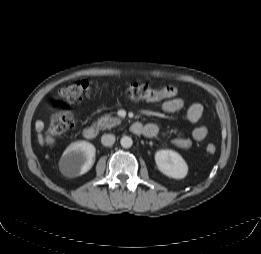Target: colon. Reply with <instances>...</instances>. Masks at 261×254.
<instances>
[{
	"instance_id": "colon-1",
	"label": "colon",
	"mask_w": 261,
	"mask_h": 254,
	"mask_svg": "<svg viewBox=\"0 0 261 254\" xmlns=\"http://www.w3.org/2000/svg\"><path fill=\"white\" fill-rule=\"evenodd\" d=\"M92 90L89 81L85 79L75 80L68 86L63 88L60 95L64 101L69 104L78 103L83 100ZM126 95L131 99H143L148 101H161L173 98L177 94V89L172 85H164L160 88L132 82L126 87ZM75 125L74 117L71 113H60L55 115L46 129V136L52 139L60 136L71 129ZM205 151L209 155L216 153L217 148L214 144L209 143L205 147Z\"/></svg>"
}]
</instances>
